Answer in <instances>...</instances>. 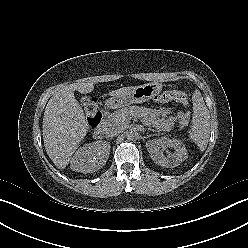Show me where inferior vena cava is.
<instances>
[{
    "label": "inferior vena cava",
    "instance_id": "inferior-vena-cava-1",
    "mask_svg": "<svg viewBox=\"0 0 248 248\" xmlns=\"http://www.w3.org/2000/svg\"><path fill=\"white\" fill-rule=\"evenodd\" d=\"M122 130L123 129L121 127H118V126L110 127L106 130V136L107 137L117 136L122 132Z\"/></svg>",
    "mask_w": 248,
    "mask_h": 248
}]
</instances>
